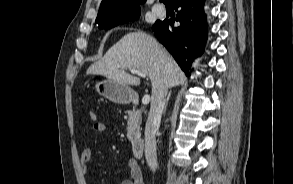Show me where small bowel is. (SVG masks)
Masks as SVG:
<instances>
[{"instance_id":"small-bowel-1","label":"small bowel","mask_w":293,"mask_h":184,"mask_svg":"<svg viewBox=\"0 0 293 184\" xmlns=\"http://www.w3.org/2000/svg\"><path fill=\"white\" fill-rule=\"evenodd\" d=\"M93 130L98 133L105 132L107 130V125L104 122H95ZM92 159V150L90 148L83 149L80 154V162L85 173L89 171ZM127 167L130 177L123 180L120 184H144L141 168L138 162L131 158L127 162Z\"/></svg>"}]
</instances>
